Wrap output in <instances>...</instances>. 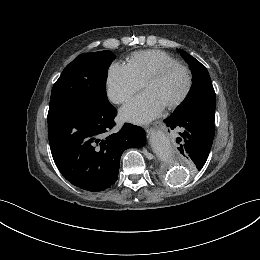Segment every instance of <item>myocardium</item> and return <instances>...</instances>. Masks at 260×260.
Wrapping results in <instances>:
<instances>
[{"label":"myocardium","mask_w":260,"mask_h":260,"mask_svg":"<svg viewBox=\"0 0 260 260\" xmlns=\"http://www.w3.org/2000/svg\"><path fill=\"white\" fill-rule=\"evenodd\" d=\"M177 70H182L186 74L187 85L183 93L175 101L165 107L166 110H173L177 108L188 97L193 86V75L189 67L181 63L165 66L154 74L150 75L143 83L144 88L148 84L156 83L163 80L169 74Z\"/></svg>","instance_id":"1"}]
</instances>
